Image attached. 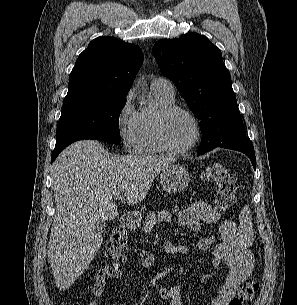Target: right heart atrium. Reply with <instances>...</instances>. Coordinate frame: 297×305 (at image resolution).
<instances>
[{"mask_svg":"<svg viewBox=\"0 0 297 305\" xmlns=\"http://www.w3.org/2000/svg\"><path fill=\"white\" fill-rule=\"evenodd\" d=\"M116 123L119 137L127 150H134L139 130V112L135 108L134 93L129 91L117 112Z\"/></svg>","mask_w":297,"mask_h":305,"instance_id":"1","label":"right heart atrium"}]
</instances>
